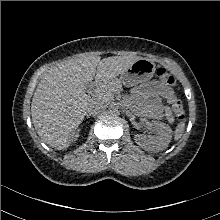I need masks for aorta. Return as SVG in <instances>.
<instances>
[{"label": "aorta", "mask_w": 220, "mask_h": 220, "mask_svg": "<svg viewBox=\"0 0 220 220\" xmlns=\"http://www.w3.org/2000/svg\"><path fill=\"white\" fill-rule=\"evenodd\" d=\"M111 112H112L113 114H116V113L118 112V109H117L116 107H114V108H112Z\"/></svg>", "instance_id": "762f6f07"}]
</instances>
